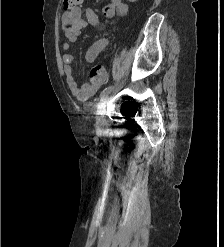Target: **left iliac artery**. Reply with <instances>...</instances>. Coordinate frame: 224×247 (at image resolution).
Returning <instances> with one entry per match:
<instances>
[{"label": "left iliac artery", "instance_id": "44dca946", "mask_svg": "<svg viewBox=\"0 0 224 247\" xmlns=\"http://www.w3.org/2000/svg\"><path fill=\"white\" fill-rule=\"evenodd\" d=\"M113 86H108L105 89H103V91L101 92V96H103L104 94L110 92L112 90Z\"/></svg>", "mask_w": 224, "mask_h": 247}]
</instances>
